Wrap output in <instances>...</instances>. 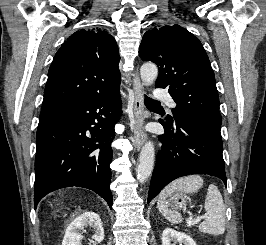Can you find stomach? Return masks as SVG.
<instances>
[{"instance_id": "stomach-1", "label": "stomach", "mask_w": 266, "mask_h": 245, "mask_svg": "<svg viewBox=\"0 0 266 245\" xmlns=\"http://www.w3.org/2000/svg\"><path fill=\"white\" fill-rule=\"evenodd\" d=\"M187 203H191L190 197H187L186 193L183 191H176V193H172L169 195L167 199H165L166 207H170L173 211H182V209H186Z\"/></svg>"}]
</instances>
